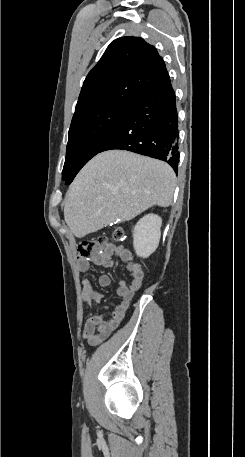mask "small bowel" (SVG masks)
Wrapping results in <instances>:
<instances>
[{"instance_id":"1","label":"small bowel","mask_w":245,"mask_h":457,"mask_svg":"<svg viewBox=\"0 0 245 457\" xmlns=\"http://www.w3.org/2000/svg\"><path fill=\"white\" fill-rule=\"evenodd\" d=\"M119 258L126 264V269L130 276V281L121 280L117 288V294L120 301L107 318L102 313L92 312L85 322L82 331V337L90 344L97 345L105 340L121 323L125 317L129 303L134 293L141 287L144 272L140 264L134 262L131 252L123 246L107 244L103 252L92 257L91 259L80 260L78 269L85 272L90 268V263L102 267H111L113 265L112 257ZM102 287H108L111 284L109 275H102L99 279ZM82 295L88 305L93 309L94 305L99 304L102 296L93 288L89 279L82 280Z\"/></svg>"}]
</instances>
